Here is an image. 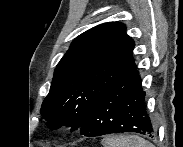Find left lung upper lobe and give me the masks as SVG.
Instances as JSON below:
<instances>
[{
    "mask_svg": "<svg viewBox=\"0 0 183 147\" xmlns=\"http://www.w3.org/2000/svg\"><path fill=\"white\" fill-rule=\"evenodd\" d=\"M119 22L79 35L58 63L41 114L50 128L79 129L100 97L134 68V41Z\"/></svg>",
    "mask_w": 183,
    "mask_h": 147,
    "instance_id": "obj_1",
    "label": "left lung upper lobe"
}]
</instances>
